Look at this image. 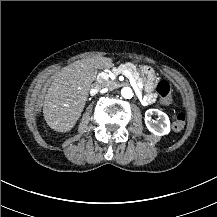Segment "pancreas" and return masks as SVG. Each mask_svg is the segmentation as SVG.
<instances>
[{
	"instance_id": "cf45deb5",
	"label": "pancreas",
	"mask_w": 217,
	"mask_h": 217,
	"mask_svg": "<svg viewBox=\"0 0 217 217\" xmlns=\"http://www.w3.org/2000/svg\"><path fill=\"white\" fill-rule=\"evenodd\" d=\"M122 69H126V70H128L129 72H131L132 73V75H133V77H134V79H135V81H136V83H139V82H142V79L140 78V76H139V74H138V72H137V70H136V68L134 67V66H132V64L129 62H126V63H124V64H121L120 66H119V68L117 67V69L115 70L116 72H119L120 70H122ZM115 73V72H114ZM113 73V74H114Z\"/></svg>"
}]
</instances>
